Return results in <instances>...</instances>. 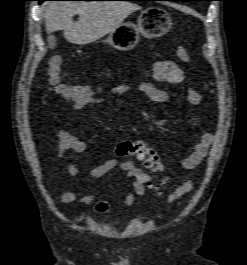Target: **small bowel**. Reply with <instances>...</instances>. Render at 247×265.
Segmentation results:
<instances>
[{
	"label": "small bowel",
	"mask_w": 247,
	"mask_h": 265,
	"mask_svg": "<svg viewBox=\"0 0 247 265\" xmlns=\"http://www.w3.org/2000/svg\"><path fill=\"white\" fill-rule=\"evenodd\" d=\"M152 75L155 81L167 82L169 84L177 85L185 81L186 76L182 69L178 67L176 62L172 60H159L154 63L152 68ZM131 86L128 83H120L109 88L108 93L111 96L122 95L130 90ZM137 90L140 91L146 98L152 102L159 103L164 106L170 105L169 93L157 87L150 82H140L137 84ZM184 97L191 105L198 106L203 102V96L191 88L184 90ZM106 102L112 103L109 99ZM87 107L83 103H73L71 109L73 111H80ZM58 147L55 153L60 157H65L70 151L82 153L86 150L87 144L61 128L58 131ZM214 134L211 132L203 134L200 139L192 144V150L181 161V168L184 170H193L198 166L207 156V153L213 143ZM120 167L128 177L132 180V189L126 191L124 194V203L126 206L133 205L136 196H143L146 192L147 185L153 180H163L162 175H151L141 168H139L132 160H125L119 162L116 158H109L101 164L92 168L89 175L93 178H100L110 173L116 167ZM68 172L72 176H77L79 170L69 161H66ZM78 193L75 190L64 192L60 196V201L65 204L77 202L82 205L94 203L93 209L96 213L103 214L109 211L110 203L106 200H98L97 194L91 193L81 198H77Z\"/></svg>",
	"instance_id": "small-bowel-1"
}]
</instances>
